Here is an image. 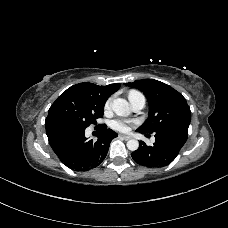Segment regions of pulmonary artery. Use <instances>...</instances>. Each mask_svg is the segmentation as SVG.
<instances>
[{
    "instance_id": "1",
    "label": "pulmonary artery",
    "mask_w": 228,
    "mask_h": 228,
    "mask_svg": "<svg viewBox=\"0 0 228 228\" xmlns=\"http://www.w3.org/2000/svg\"><path fill=\"white\" fill-rule=\"evenodd\" d=\"M128 99L131 104L132 109L135 112L142 110L146 105L145 96L137 91H132L128 94Z\"/></svg>"
}]
</instances>
